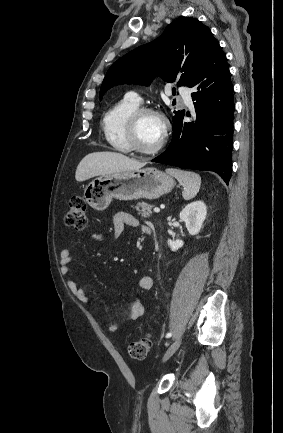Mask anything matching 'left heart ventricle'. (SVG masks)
<instances>
[{
  "mask_svg": "<svg viewBox=\"0 0 283 433\" xmlns=\"http://www.w3.org/2000/svg\"><path fill=\"white\" fill-rule=\"evenodd\" d=\"M163 131L162 121L155 115H145L138 127V141L141 147L148 151L157 148Z\"/></svg>",
  "mask_w": 283,
  "mask_h": 433,
  "instance_id": "b2bd125f",
  "label": "left heart ventricle"
}]
</instances>
